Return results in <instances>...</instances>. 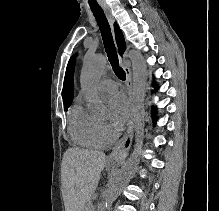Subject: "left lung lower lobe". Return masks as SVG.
<instances>
[{"instance_id":"left-lung-lower-lobe-1","label":"left lung lower lobe","mask_w":219,"mask_h":211,"mask_svg":"<svg viewBox=\"0 0 219 211\" xmlns=\"http://www.w3.org/2000/svg\"><path fill=\"white\" fill-rule=\"evenodd\" d=\"M154 115H155V109L153 108V110H152V116L154 117Z\"/></svg>"}]
</instances>
